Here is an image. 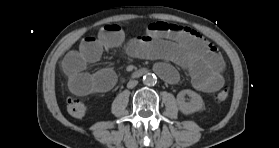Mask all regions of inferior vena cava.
Here are the masks:
<instances>
[{
    "label": "inferior vena cava",
    "mask_w": 279,
    "mask_h": 148,
    "mask_svg": "<svg viewBox=\"0 0 279 148\" xmlns=\"http://www.w3.org/2000/svg\"><path fill=\"white\" fill-rule=\"evenodd\" d=\"M137 84H138V81H137V80H130V81L127 83V87H128V88H134Z\"/></svg>",
    "instance_id": "obj_1"
}]
</instances>
